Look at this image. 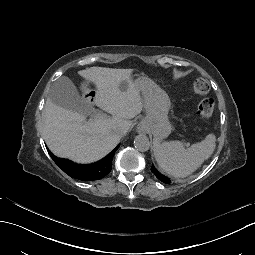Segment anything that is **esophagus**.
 I'll use <instances>...</instances> for the list:
<instances>
[{
    "instance_id": "esophagus-1",
    "label": "esophagus",
    "mask_w": 255,
    "mask_h": 255,
    "mask_svg": "<svg viewBox=\"0 0 255 255\" xmlns=\"http://www.w3.org/2000/svg\"><path fill=\"white\" fill-rule=\"evenodd\" d=\"M138 130H139V133H142V134H145L147 131V129L144 125H140Z\"/></svg>"
}]
</instances>
